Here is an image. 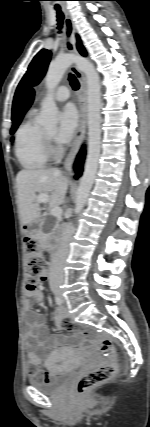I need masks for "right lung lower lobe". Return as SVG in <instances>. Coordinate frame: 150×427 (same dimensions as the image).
Segmentation results:
<instances>
[{
    "label": "right lung lower lobe",
    "mask_w": 150,
    "mask_h": 427,
    "mask_svg": "<svg viewBox=\"0 0 150 427\" xmlns=\"http://www.w3.org/2000/svg\"><path fill=\"white\" fill-rule=\"evenodd\" d=\"M84 155H85L84 149H81V151L79 152V154H78V156L76 158L75 164H74V167H75V170H76V173H77L76 176H75V178H78V176H80V174L82 172V165H83V161H84Z\"/></svg>",
    "instance_id": "98d812e1"
}]
</instances>
